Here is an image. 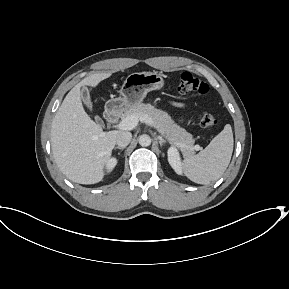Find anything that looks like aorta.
Segmentation results:
<instances>
[{
  "mask_svg": "<svg viewBox=\"0 0 289 289\" xmlns=\"http://www.w3.org/2000/svg\"><path fill=\"white\" fill-rule=\"evenodd\" d=\"M139 144L142 147H147L151 144V138L149 135L143 134L139 137Z\"/></svg>",
  "mask_w": 289,
  "mask_h": 289,
  "instance_id": "762f6f07",
  "label": "aorta"
}]
</instances>
